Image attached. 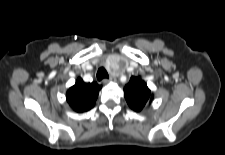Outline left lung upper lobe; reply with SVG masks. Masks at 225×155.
<instances>
[{
  "mask_svg": "<svg viewBox=\"0 0 225 155\" xmlns=\"http://www.w3.org/2000/svg\"><path fill=\"white\" fill-rule=\"evenodd\" d=\"M124 96L129 107L136 112L150 105L153 99L147 84L140 77L134 76L124 88Z\"/></svg>",
  "mask_w": 225,
  "mask_h": 155,
  "instance_id": "left-lung-upper-lobe-1",
  "label": "left lung upper lobe"
}]
</instances>
